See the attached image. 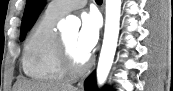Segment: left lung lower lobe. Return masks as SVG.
Segmentation results:
<instances>
[{"instance_id":"left-lung-lower-lobe-1","label":"left lung lower lobe","mask_w":173,"mask_h":91,"mask_svg":"<svg viewBox=\"0 0 173 91\" xmlns=\"http://www.w3.org/2000/svg\"><path fill=\"white\" fill-rule=\"evenodd\" d=\"M95 75L92 73L85 81V91H96Z\"/></svg>"}]
</instances>
